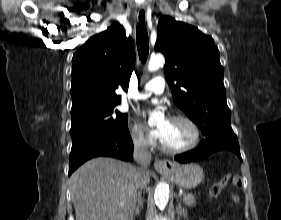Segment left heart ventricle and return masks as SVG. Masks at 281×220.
<instances>
[{
    "instance_id": "b2bd125f",
    "label": "left heart ventricle",
    "mask_w": 281,
    "mask_h": 220,
    "mask_svg": "<svg viewBox=\"0 0 281 220\" xmlns=\"http://www.w3.org/2000/svg\"><path fill=\"white\" fill-rule=\"evenodd\" d=\"M159 128L164 129L162 143L170 148H179L189 144L193 138L191 127L183 121H163Z\"/></svg>"
}]
</instances>
